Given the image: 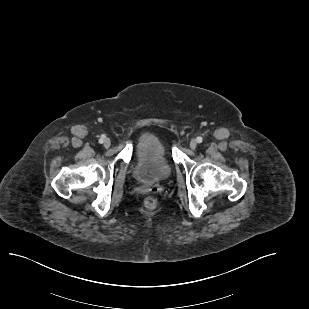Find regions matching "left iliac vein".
Returning <instances> with one entry per match:
<instances>
[{"instance_id":"obj_1","label":"left iliac vein","mask_w":309,"mask_h":309,"mask_svg":"<svg viewBox=\"0 0 309 309\" xmlns=\"http://www.w3.org/2000/svg\"><path fill=\"white\" fill-rule=\"evenodd\" d=\"M196 147H197V141L196 140H191V142H190V148L191 149H196Z\"/></svg>"}]
</instances>
